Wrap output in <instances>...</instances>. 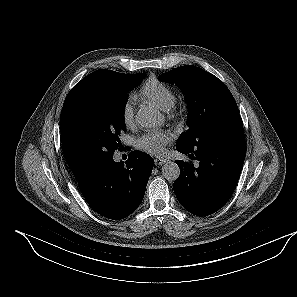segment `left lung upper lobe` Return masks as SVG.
Here are the masks:
<instances>
[{
    "label": "left lung upper lobe",
    "instance_id": "1",
    "mask_svg": "<svg viewBox=\"0 0 297 297\" xmlns=\"http://www.w3.org/2000/svg\"><path fill=\"white\" fill-rule=\"evenodd\" d=\"M159 80L177 85L188 105V127L176 146L192 150L208 140L243 128L231 92L216 76L188 65L160 75Z\"/></svg>",
    "mask_w": 297,
    "mask_h": 297
}]
</instances>
